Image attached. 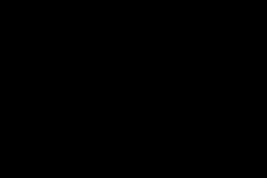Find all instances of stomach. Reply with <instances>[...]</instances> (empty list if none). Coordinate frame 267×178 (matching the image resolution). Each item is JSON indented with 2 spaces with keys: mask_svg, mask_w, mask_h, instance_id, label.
Here are the masks:
<instances>
[{
  "mask_svg": "<svg viewBox=\"0 0 267 178\" xmlns=\"http://www.w3.org/2000/svg\"><path fill=\"white\" fill-rule=\"evenodd\" d=\"M144 38L150 40L159 48H168L172 41L170 31L159 26L151 27L144 35Z\"/></svg>",
  "mask_w": 267,
  "mask_h": 178,
  "instance_id": "stomach-1",
  "label": "stomach"
}]
</instances>
